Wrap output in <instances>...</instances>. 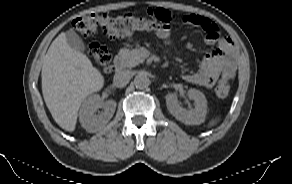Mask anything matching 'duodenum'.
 Wrapping results in <instances>:
<instances>
[{
  "label": "duodenum",
  "instance_id": "duodenum-1",
  "mask_svg": "<svg viewBox=\"0 0 292 184\" xmlns=\"http://www.w3.org/2000/svg\"><path fill=\"white\" fill-rule=\"evenodd\" d=\"M114 68L116 71L120 72L123 70L124 68V59L122 56H117L114 59Z\"/></svg>",
  "mask_w": 292,
  "mask_h": 184
}]
</instances>
